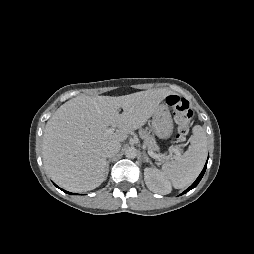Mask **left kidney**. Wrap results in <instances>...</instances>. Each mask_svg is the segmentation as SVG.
<instances>
[{
    "instance_id": "1",
    "label": "left kidney",
    "mask_w": 254,
    "mask_h": 254,
    "mask_svg": "<svg viewBox=\"0 0 254 254\" xmlns=\"http://www.w3.org/2000/svg\"><path fill=\"white\" fill-rule=\"evenodd\" d=\"M144 180L148 189L154 193L166 195L172 190L171 184L166 176L156 168H145Z\"/></svg>"
}]
</instances>
